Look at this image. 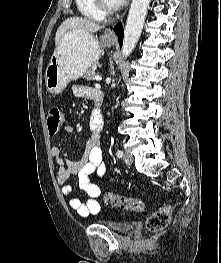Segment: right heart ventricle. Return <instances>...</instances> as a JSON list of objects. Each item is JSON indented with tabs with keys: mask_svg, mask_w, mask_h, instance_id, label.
I'll list each match as a JSON object with an SVG mask.
<instances>
[{
	"mask_svg": "<svg viewBox=\"0 0 221 263\" xmlns=\"http://www.w3.org/2000/svg\"><path fill=\"white\" fill-rule=\"evenodd\" d=\"M78 11L93 21H103L106 17L94 4L93 0H75Z\"/></svg>",
	"mask_w": 221,
	"mask_h": 263,
	"instance_id": "obj_1",
	"label": "right heart ventricle"
}]
</instances>
